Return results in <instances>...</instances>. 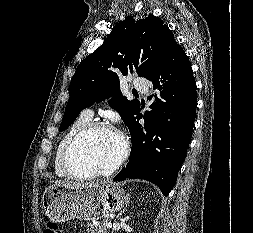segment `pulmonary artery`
Returning <instances> with one entry per match:
<instances>
[{
    "label": "pulmonary artery",
    "mask_w": 253,
    "mask_h": 233,
    "mask_svg": "<svg viewBox=\"0 0 253 233\" xmlns=\"http://www.w3.org/2000/svg\"><path fill=\"white\" fill-rule=\"evenodd\" d=\"M133 87L135 88L136 91L146 95L148 94V88H149V84L148 81L143 80V79H136L133 82ZM83 116L92 118L94 115V111L91 108H86L82 111L81 113Z\"/></svg>",
    "instance_id": "pulmonary-artery-1"
}]
</instances>
